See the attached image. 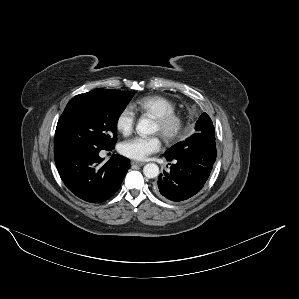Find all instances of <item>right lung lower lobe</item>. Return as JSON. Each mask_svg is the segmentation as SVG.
<instances>
[{
	"mask_svg": "<svg viewBox=\"0 0 299 299\" xmlns=\"http://www.w3.org/2000/svg\"><path fill=\"white\" fill-rule=\"evenodd\" d=\"M100 149L76 148L56 153L55 163L66 187L77 197L91 203L110 198L120 187L130 162L113 154L105 164Z\"/></svg>",
	"mask_w": 299,
	"mask_h": 299,
	"instance_id": "obj_1",
	"label": "right lung lower lobe"
}]
</instances>
